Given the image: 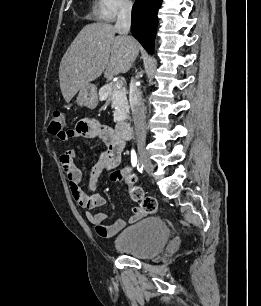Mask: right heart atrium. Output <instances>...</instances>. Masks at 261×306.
Here are the masks:
<instances>
[{
  "instance_id": "d8ad5b80",
  "label": "right heart atrium",
  "mask_w": 261,
  "mask_h": 306,
  "mask_svg": "<svg viewBox=\"0 0 261 306\" xmlns=\"http://www.w3.org/2000/svg\"><path fill=\"white\" fill-rule=\"evenodd\" d=\"M132 7L130 0H95L94 13L100 20L112 22Z\"/></svg>"
}]
</instances>
